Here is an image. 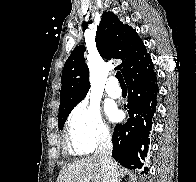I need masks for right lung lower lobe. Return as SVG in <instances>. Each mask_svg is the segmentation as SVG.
<instances>
[{"instance_id": "98d812e1", "label": "right lung lower lobe", "mask_w": 196, "mask_h": 182, "mask_svg": "<svg viewBox=\"0 0 196 182\" xmlns=\"http://www.w3.org/2000/svg\"><path fill=\"white\" fill-rule=\"evenodd\" d=\"M150 55L141 61L124 78L128 86V121L116 125L112 136V156L124 167L140 169L147 156L152 119L156 112L157 92L156 73ZM147 168H144V173Z\"/></svg>"}]
</instances>
